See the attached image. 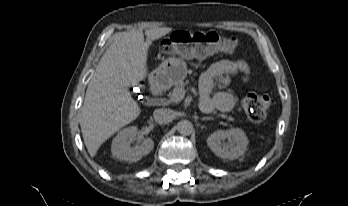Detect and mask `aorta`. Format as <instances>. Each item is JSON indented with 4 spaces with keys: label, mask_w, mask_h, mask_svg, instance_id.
<instances>
[{
    "label": "aorta",
    "mask_w": 348,
    "mask_h": 206,
    "mask_svg": "<svg viewBox=\"0 0 348 206\" xmlns=\"http://www.w3.org/2000/svg\"><path fill=\"white\" fill-rule=\"evenodd\" d=\"M181 135L188 136L193 132V124L189 120H181L177 125Z\"/></svg>",
    "instance_id": "obj_1"
}]
</instances>
